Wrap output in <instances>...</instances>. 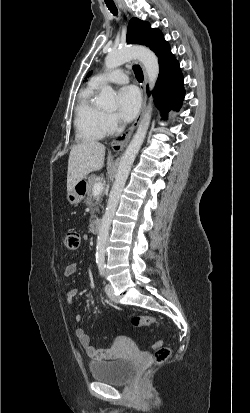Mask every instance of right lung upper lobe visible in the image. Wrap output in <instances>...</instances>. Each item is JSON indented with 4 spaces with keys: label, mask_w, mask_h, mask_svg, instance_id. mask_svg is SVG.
Returning a JSON list of instances; mask_svg holds the SVG:
<instances>
[{
    "label": "right lung upper lobe",
    "mask_w": 250,
    "mask_h": 413,
    "mask_svg": "<svg viewBox=\"0 0 250 413\" xmlns=\"http://www.w3.org/2000/svg\"><path fill=\"white\" fill-rule=\"evenodd\" d=\"M90 74H91V72L87 75V77H89V76H90Z\"/></svg>",
    "instance_id": "right-lung-upper-lobe-1"
}]
</instances>
